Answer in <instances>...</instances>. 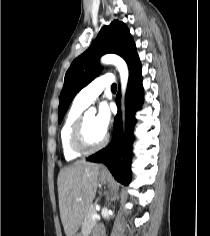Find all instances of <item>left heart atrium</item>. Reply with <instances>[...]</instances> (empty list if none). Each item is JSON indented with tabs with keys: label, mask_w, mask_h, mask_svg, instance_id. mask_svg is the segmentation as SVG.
Segmentation results:
<instances>
[{
	"label": "left heart atrium",
	"mask_w": 210,
	"mask_h": 236,
	"mask_svg": "<svg viewBox=\"0 0 210 236\" xmlns=\"http://www.w3.org/2000/svg\"><path fill=\"white\" fill-rule=\"evenodd\" d=\"M111 122V110L107 103H102L99 106L98 112L94 117L96 127L103 133H106Z\"/></svg>",
	"instance_id": "obj_1"
}]
</instances>
